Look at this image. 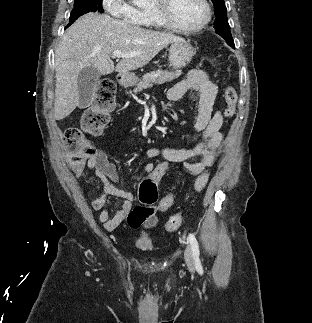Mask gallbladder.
Returning a JSON list of instances; mask_svg holds the SVG:
<instances>
[{"mask_svg": "<svg viewBox=\"0 0 312 323\" xmlns=\"http://www.w3.org/2000/svg\"><path fill=\"white\" fill-rule=\"evenodd\" d=\"M101 74L97 68H84L77 78L79 92V108L90 106V102L95 94L98 78Z\"/></svg>", "mask_w": 312, "mask_h": 323, "instance_id": "1", "label": "gallbladder"}]
</instances>
